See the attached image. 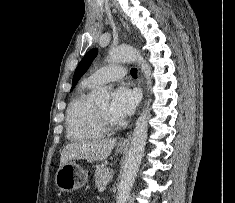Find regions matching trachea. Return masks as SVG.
I'll return each instance as SVG.
<instances>
[{
    "label": "trachea",
    "instance_id": "obj_1",
    "mask_svg": "<svg viewBox=\"0 0 235 203\" xmlns=\"http://www.w3.org/2000/svg\"><path fill=\"white\" fill-rule=\"evenodd\" d=\"M131 76L133 77H137V69L136 68H132L130 71Z\"/></svg>",
    "mask_w": 235,
    "mask_h": 203
}]
</instances>
